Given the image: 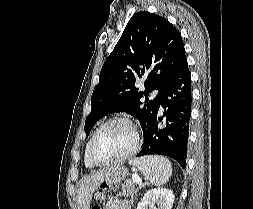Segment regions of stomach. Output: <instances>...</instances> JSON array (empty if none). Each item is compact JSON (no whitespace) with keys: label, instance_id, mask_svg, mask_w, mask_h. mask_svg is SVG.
<instances>
[{"label":"stomach","instance_id":"obj_1","mask_svg":"<svg viewBox=\"0 0 253 209\" xmlns=\"http://www.w3.org/2000/svg\"><path fill=\"white\" fill-rule=\"evenodd\" d=\"M122 168H117L111 176L107 177L96 189L95 199L102 200L104 192H113L114 188H118V182H123L126 176L130 175L129 171H121Z\"/></svg>","mask_w":253,"mask_h":209}]
</instances>
